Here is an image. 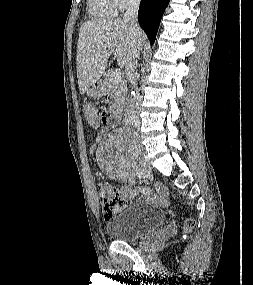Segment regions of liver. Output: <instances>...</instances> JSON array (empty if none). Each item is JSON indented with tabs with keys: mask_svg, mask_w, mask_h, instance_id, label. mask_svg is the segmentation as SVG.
<instances>
[{
	"mask_svg": "<svg viewBox=\"0 0 253 285\" xmlns=\"http://www.w3.org/2000/svg\"><path fill=\"white\" fill-rule=\"evenodd\" d=\"M145 34L122 19H99L85 22L79 30L77 47V78L81 94L98 82L111 63L108 43L115 48L114 59L126 65L137 44L143 46Z\"/></svg>",
	"mask_w": 253,
	"mask_h": 285,
	"instance_id": "liver-1",
	"label": "liver"
}]
</instances>
